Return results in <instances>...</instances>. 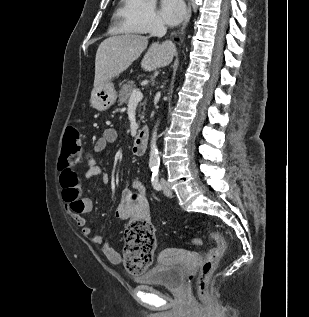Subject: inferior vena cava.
Here are the masks:
<instances>
[{"mask_svg": "<svg viewBox=\"0 0 309 317\" xmlns=\"http://www.w3.org/2000/svg\"><path fill=\"white\" fill-rule=\"evenodd\" d=\"M167 29L162 22H156L151 30L152 36L162 37L166 34Z\"/></svg>", "mask_w": 309, "mask_h": 317, "instance_id": "602c4592", "label": "inferior vena cava"}]
</instances>
